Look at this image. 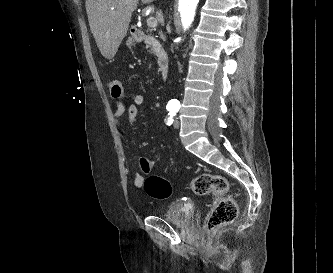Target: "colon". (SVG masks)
<instances>
[{
	"instance_id": "5ec220e1",
	"label": "colon",
	"mask_w": 333,
	"mask_h": 273,
	"mask_svg": "<svg viewBox=\"0 0 333 273\" xmlns=\"http://www.w3.org/2000/svg\"><path fill=\"white\" fill-rule=\"evenodd\" d=\"M108 89L113 99H122L123 87L119 81H110ZM139 165L141 171L145 174H148L152 169L151 160L145 157L139 159ZM190 187L196 195L213 196V202L204 223L206 232L211 233L220 226L229 224L236 219L237 204L233 198L227 195L229 184L225 177L203 173L192 180ZM144 189L149 196L156 199H166L172 193L171 184L165 178L157 175H151L146 179Z\"/></svg>"
}]
</instances>
